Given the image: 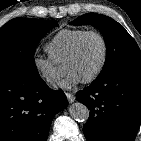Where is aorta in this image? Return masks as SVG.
<instances>
[{
	"label": "aorta",
	"instance_id": "1",
	"mask_svg": "<svg viewBox=\"0 0 141 141\" xmlns=\"http://www.w3.org/2000/svg\"><path fill=\"white\" fill-rule=\"evenodd\" d=\"M69 113L74 120L85 122L89 118L90 111L84 104L76 102L70 105Z\"/></svg>",
	"mask_w": 141,
	"mask_h": 141
}]
</instances>
